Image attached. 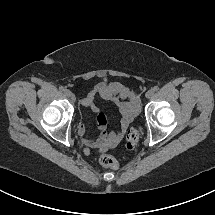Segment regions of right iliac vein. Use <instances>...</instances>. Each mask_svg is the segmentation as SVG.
Returning a JSON list of instances; mask_svg holds the SVG:
<instances>
[{"mask_svg":"<svg viewBox=\"0 0 215 215\" xmlns=\"http://www.w3.org/2000/svg\"><path fill=\"white\" fill-rule=\"evenodd\" d=\"M64 93H65L66 96H68V97H71V96H72V92H71L70 90H68V89H66V90L64 91Z\"/></svg>","mask_w":215,"mask_h":215,"instance_id":"63e3f726","label":"right iliac vein"}]
</instances>
